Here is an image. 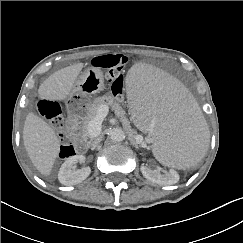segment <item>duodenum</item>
<instances>
[{
	"instance_id": "obj_1",
	"label": "duodenum",
	"mask_w": 243,
	"mask_h": 243,
	"mask_svg": "<svg viewBox=\"0 0 243 243\" xmlns=\"http://www.w3.org/2000/svg\"><path fill=\"white\" fill-rule=\"evenodd\" d=\"M68 133L73 136L77 137L78 129H77V121L72 119L71 123L68 124ZM77 147L80 151H84L87 148V141L85 139L77 138Z\"/></svg>"
}]
</instances>
